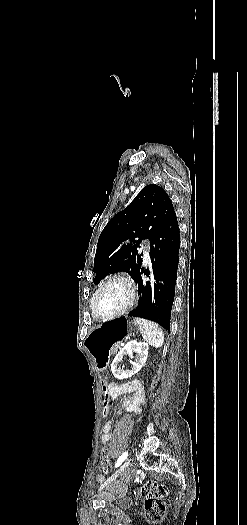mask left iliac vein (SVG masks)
I'll return each mask as SVG.
<instances>
[{"mask_svg":"<svg viewBox=\"0 0 247 525\" xmlns=\"http://www.w3.org/2000/svg\"><path fill=\"white\" fill-rule=\"evenodd\" d=\"M131 464V459H127L124 464L118 468L115 473L107 480V482L102 485L98 491H101L105 486H107L108 484H110L111 482H113L123 471H125L128 466Z\"/></svg>","mask_w":247,"mask_h":525,"instance_id":"left-iliac-vein-1","label":"left iliac vein"}]
</instances>
